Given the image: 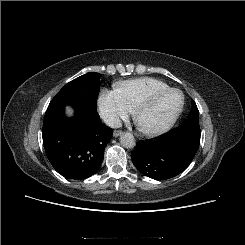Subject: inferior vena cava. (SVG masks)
<instances>
[{
    "label": "inferior vena cava",
    "instance_id": "inferior-vena-cava-1",
    "mask_svg": "<svg viewBox=\"0 0 245 245\" xmlns=\"http://www.w3.org/2000/svg\"><path fill=\"white\" fill-rule=\"evenodd\" d=\"M104 122L111 128H120L122 126L120 118L116 115L105 116Z\"/></svg>",
    "mask_w": 245,
    "mask_h": 245
}]
</instances>
